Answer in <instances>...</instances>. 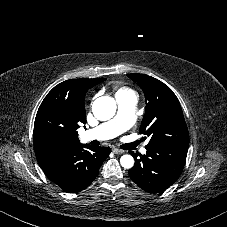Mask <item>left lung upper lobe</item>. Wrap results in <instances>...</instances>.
I'll return each mask as SVG.
<instances>
[{"instance_id":"obj_1","label":"left lung upper lobe","mask_w":227,"mask_h":227,"mask_svg":"<svg viewBox=\"0 0 227 227\" xmlns=\"http://www.w3.org/2000/svg\"><path fill=\"white\" fill-rule=\"evenodd\" d=\"M143 90L145 115L140 133L150 137L146 146L189 144L182 108L173 91L163 82L144 74H128Z\"/></svg>"}]
</instances>
